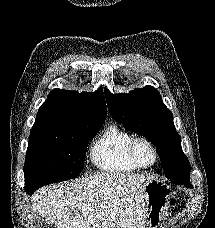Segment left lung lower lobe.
Segmentation results:
<instances>
[{"label": "left lung lower lobe", "instance_id": "1", "mask_svg": "<svg viewBox=\"0 0 215 228\" xmlns=\"http://www.w3.org/2000/svg\"><path fill=\"white\" fill-rule=\"evenodd\" d=\"M172 182L174 184H177V185H185L188 188H193L192 184L189 182V179L188 180L172 181Z\"/></svg>", "mask_w": 215, "mask_h": 228}]
</instances>
